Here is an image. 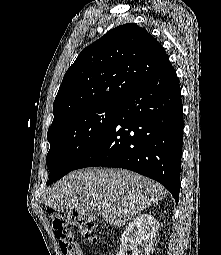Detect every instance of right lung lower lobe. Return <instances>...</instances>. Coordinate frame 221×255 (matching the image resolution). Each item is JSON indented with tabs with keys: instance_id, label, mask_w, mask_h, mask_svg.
<instances>
[{
	"instance_id": "right-lung-lower-lobe-1",
	"label": "right lung lower lobe",
	"mask_w": 221,
	"mask_h": 255,
	"mask_svg": "<svg viewBox=\"0 0 221 255\" xmlns=\"http://www.w3.org/2000/svg\"><path fill=\"white\" fill-rule=\"evenodd\" d=\"M183 124L180 85L168 62L120 103L106 130L73 170L91 166L132 170L164 185L177 203Z\"/></svg>"
}]
</instances>
